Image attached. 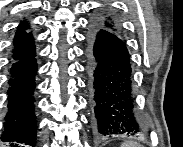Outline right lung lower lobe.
Instances as JSON below:
<instances>
[{"label":"right lung lower lobe","instance_id":"98d812e1","mask_svg":"<svg viewBox=\"0 0 183 147\" xmlns=\"http://www.w3.org/2000/svg\"><path fill=\"white\" fill-rule=\"evenodd\" d=\"M36 72L35 53L11 63L7 91L8 113L1 137L3 142L35 145L36 117L33 93Z\"/></svg>","mask_w":183,"mask_h":147}]
</instances>
